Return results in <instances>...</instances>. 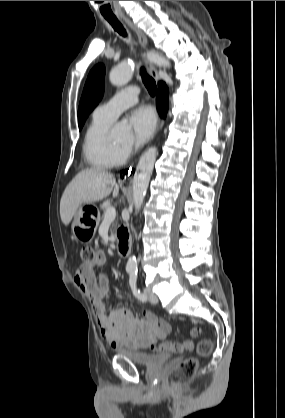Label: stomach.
Returning a JSON list of instances; mask_svg holds the SVG:
<instances>
[{"mask_svg": "<svg viewBox=\"0 0 285 418\" xmlns=\"http://www.w3.org/2000/svg\"><path fill=\"white\" fill-rule=\"evenodd\" d=\"M100 213L94 205H86L75 214L72 233L81 242L90 241L99 225Z\"/></svg>", "mask_w": 285, "mask_h": 418, "instance_id": "1", "label": "stomach"}]
</instances>
